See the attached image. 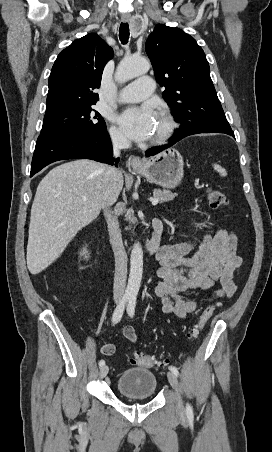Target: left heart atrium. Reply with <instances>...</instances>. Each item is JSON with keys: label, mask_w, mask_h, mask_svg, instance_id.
I'll return each instance as SVG.
<instances>
[{"label": "left heart atrium", "mask_w": 272, "mask_h": 452, "mask_svg": "<svg viewBox=\"0 0 272 452\" xmlns=\"http://www.w3.org/2000/svg\"><path fill=\"white\" fill-rule=\"evenodd\" d=\"M154 118L153 109L146 105L127 108L118 116V122L131 139L142 141L151 137Z\"/></svg>", "instance_id": "1"}]
</instances>
